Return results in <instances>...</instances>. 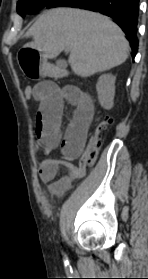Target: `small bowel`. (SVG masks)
Wrapping results in <instances>:
<instances>
[{
  "label": "small bowel",
  "mask_w": 148,
  "mask_h": 279,
  "mask_svg": "<svg viewBox=\"0 0 148 279\" xmlns=\"http://www.w3.org/2000/svg\"><path fill=\"white\" fill-rule=\"evenodd\" d=\"M34 99L38 104L35 122V148H42L49 155L58 146L62 159L46 158L39 167V178L46 191L61 197L84 177L85 168L75 166L72 161L82 153L94 114L93 101L88 93L76 86L60 87L49 81L33 87ZM71 103L75 112L65 132H62L64 102ZM61 170L66 174L58 177Z\"/></svg>",
  "instance_id": "c3829d8e"
}]
</instances>
